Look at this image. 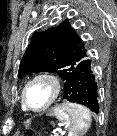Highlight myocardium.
<instances>
[{"label":"myocardium","mask_w":117,"mask_h":136,"mask_svg":"<svg viewBox=\"0 0 117 136\" xmlns=\"http://www.w3.org/2000/svg\"><path fill=\"white\" fill-rule=\"evenodd\" d=\"M37 81H45L49 84V86L51 88V96L44 107H42L40 109H33L27 103L26 94H27V90H28L29 86ZM61 88H62L61 81L55 74L50 73V72H40V73L32 76L25 83V85L22 89V93H21L22 107L24 108V110H26L28 112H33V113L44 112L56 101V99L58 98V96L61 93Z\"/></svg>","instance_id":"myocardium-1"}]
</instances>
